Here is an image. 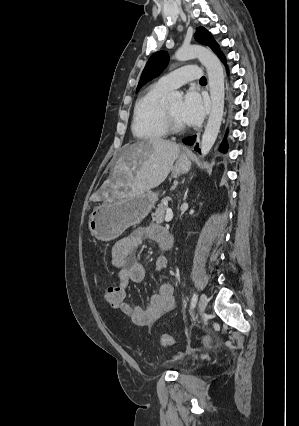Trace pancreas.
Instances as JSON below:
<instances>
[{
    "mask_svg": "<svg viewBox=\"0 0 299 426\" xmlns=\"http://www.w3.org/2000/svg\"><path fill=\"white\" fill-rule=\"evenodd\" d=\"M168 200V197L164 198L156 208L155 212L152 213V220L154 222L161 223L164 220Z\"/></svg>",
    "mask_w": 299,
    "mask_h": 426,
    "instance_id": "obj_1",
    "label": "pancreas"
}]
</instances>
